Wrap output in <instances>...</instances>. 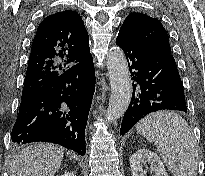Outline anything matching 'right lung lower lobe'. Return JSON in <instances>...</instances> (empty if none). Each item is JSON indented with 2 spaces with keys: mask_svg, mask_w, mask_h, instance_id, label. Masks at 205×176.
<instances>
[{
  "mask_svg": "<svg viewBox=\"0 0 205 176\" xmlns=\"http://www.w3.org/2000/svg\"><path fill=\"white\" fill-rule=\"evenodd\" d=\"M94 90L95 70L89 56L22 98L12 142H51L85 154V128Z\"/></svg>",
  "mask_w": 205,
  "mask_h": 176,
  "instance_id": "obj_1",
  "label": "right lung lower lobe"
}]
</instances>
